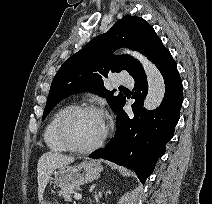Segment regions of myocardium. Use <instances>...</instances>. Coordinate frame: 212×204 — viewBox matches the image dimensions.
<instances>
[{"label": "myocardium", "instance_id": "obj_1", "mask_svg": "<svg viewBox=\"0 0 212 204\" xmlns=\"http://www.w3.org/2000/svg\"><path fill=\"white\" fill-rule=\"evenodd\" d=\"M84 111L95 112L102 115L105 120V126H104L102 135L96 142L86 147H80L75 145L71 141L67 132V123L72 115L78 112H84ZM109 131H110V125H109V121H108V117L106 113L101 108L94 105H89V104H79V105L70 106L62 113L57 124V134L60 141L67 148V150L75 152V153H90L97 150L105 142L106 138L108 137Z\"/></svg>", "mask_w": 212, "mask_h": 204}]
</instances>
